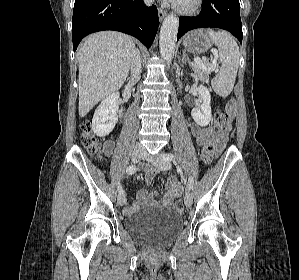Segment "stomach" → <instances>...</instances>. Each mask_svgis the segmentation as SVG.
<instances>
[{
  "label": "stomach",
  "mask_w": 299,
  "mask_h": 280,
  "mask_svg": "<svg viewBox=\"0 0 299 280\" xmlns=\"http://www.w3.org/2000/svg\"><path fill=\"white\" fill-rule=\"evenodd\" d=\"M212 39L203 30H195L186 35L183 40L185 49L191 53H203L212 46Z\"/></svg>",
  "instance_id": "0dacf381"
}]
</instances>
